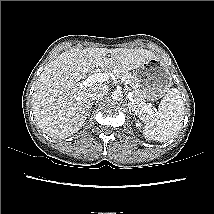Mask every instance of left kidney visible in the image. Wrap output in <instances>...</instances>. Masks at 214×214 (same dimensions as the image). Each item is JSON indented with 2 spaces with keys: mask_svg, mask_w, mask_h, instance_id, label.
Instances as JSON below:
<instances>
[{
  "mask_svg": "<svg viewBox=\"0 0 214 214\" xmlns=\"http://www.w3.org/2000/svg\"><path fill=\"white\" fill-rule=\"evenodd\" d=\"M141 124L139 122H136V126L139 127Z\"/></svg>",
  "mask_w": 214,
  "mask_h": 214,
  "instance_id": "1",
  "label": "left kidney"
}]
</instances>
